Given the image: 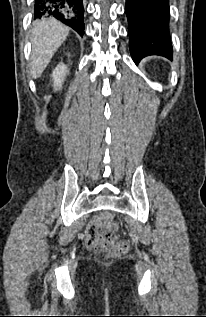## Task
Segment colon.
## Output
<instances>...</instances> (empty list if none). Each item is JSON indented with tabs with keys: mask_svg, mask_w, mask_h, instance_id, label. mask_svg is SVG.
I'll return each mask as SVG.
<instances>
[{
	"mask_svg": "<svg viewBox=\"0 0 206 317\" xmlns=\"http://www.w3.org/2000/svg\"><path fill=\"white\" fill-rule=\"evenodd\" d=\"M99 223L111 225L113 217L110 213H104L99 217ZM88 247L98 253L111 252L114 255H123L128 251V244L123 239L116 240L111 231L98 225L87 238Z\"/></svg>",
	"mask_w": 206,
	"mask_h": 317,
	"instance_id": "obj_1",
	"label": "colon"
}]
</instances>
